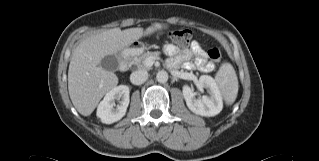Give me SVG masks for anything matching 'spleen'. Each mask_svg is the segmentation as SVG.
Listing matches in <instances>:
<instances>
[{"mask_svg": "<svg viewBox=\"0 0 319 161\" xmlns=\"http://www.w3.org/2000/svg\"><path fill=\"white\" fill-rule=\"evenodd\" d=\"M215 81L227 105H231L238 94V79L233 66L223 63L215 76Z\"/></svg>", "mask_w": 319, "mask_h": 161, "instance_id": "spleen-1", "label": "spleen"}]
</instances>
